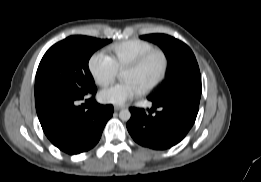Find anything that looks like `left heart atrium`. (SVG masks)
<instances>
[{
    "label": "left heart atrium",
    "mask_w": 261,
    "mask_h": 182,
    "mask_svg": "<svg viewBox=\"0 0 261 182\" xmlns=\"http://www.w3.org/2000/svg\"><path fill=\"white\" fill-rule=\"evenodd\" d=\"M143 89L132 81H124L100 91L98 98L102 103L124 105L139 96Z\"/></svg>",
    "instance_id": "obj_1"
}]
</instances>
